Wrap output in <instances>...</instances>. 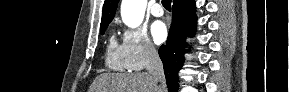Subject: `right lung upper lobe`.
I'll use <instances>...</instances> for the list:
<instances>
[{
  "label": "right lung upper lobe",
  "mask_w": 289,
  "mask_h": 92,
  "mask_svg": "<svg viewBox=\"0 0 289 92\" xmlns=\"http://www.w3.org/2000/svg\"><path fill=\"white\" fill-rule=\"evenodd\" d=\"M179 0H173L176 2ZM182 1V0H180ZM119 0H105L103 5L102 19H101V27L108 25L114 18L116 8L118 6Z\"/></svg>",
  "instance_id": "obj_1"
}]
</instances>
